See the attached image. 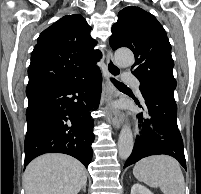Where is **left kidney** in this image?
<instances>
[{
  "label": "left kidney",
  "mask_w": 201,
  "mask_h": 194,
  "mask_svg": "<svg viewBox=\"0 0 201 194\" xmlns=\"http://www.w3.org/2000/svg\"><path fill=\"white\" fill-rule=\"evenodd\" d=\"M131 194H153L148 188L136 183L131 188Z\"/></svg>",
  "instance_id": "5707ae66"
}]
</instances>
